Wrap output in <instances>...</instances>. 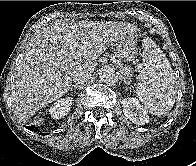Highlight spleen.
Segmentation results:
<instances>
[{"label": "spleen", "instance_id": "obj_1", "mask_svg": "<svg viewBox=\"0 0 196 166\" xmlns=\"http://www.w3.org/2000/svg\"><path fill=\"white\" fill-rule=\"evenodd\" d=\"M144 67L138 76L136 94L151 114L169 112L177 93L176 77L161 49L149 38L143 40Z\"/></svg>", "mask_w": 196, "mask_h": 166}]
</instances>
